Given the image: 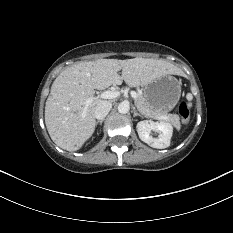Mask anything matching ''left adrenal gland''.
<instances>
[{
    "mask_svg": "<svg viewBox=\"0 0 233 233\" xmlns=\"http://www.w3.org/2000/svg\"><path fill=\"white\" fill-rule=\"evenodd\" d=\"M133 116H134V117L139 116V117H142V118H143V116H142L140 113H138V112L136 111L135 107H133Z\"/></svg>",
    "mask_w": 233,
    "mask_h": 233,
    "instance_id": "left-adrenal-gland-1",
    "label": "left adrenal gland"
}]
</instances>
